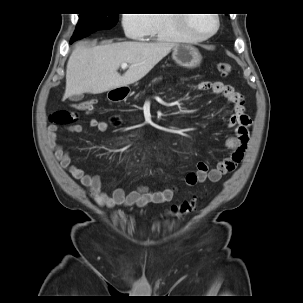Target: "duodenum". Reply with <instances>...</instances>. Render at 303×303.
Returning a JSON list of instances; mask_svg holds the SVG:
<instances>
[{
    "mask_svg": "<svg viewBox=\"0 0 303 303\" xmlns=\"http://www.w3.org/2000/svg\"><path fill=\"white\" fill-rule=\"evenodd\" d=\"M125 97V92L120 91V90H115L110 92V98L113 100H122Z\"/></svg>",
    "mask_w": 303,
    "mask_h": 303,
    "instance_id": "410a0bca",
    "label": "duodenum"
}]
</instances>
